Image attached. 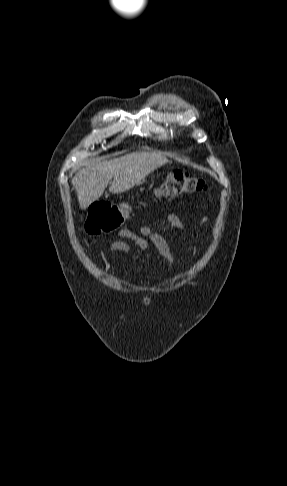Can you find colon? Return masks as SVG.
Masks as SVG:
<instances>
[{"label": "colon", "instance_id": "colon-1", "mask_svg": "<svg viewBox=\"0 0 287 486\" xmlns=\"http://www.w3.org/2000/svg\"><path fill=\"white\" fill-rule=\"evenodd\" d=\"M207 189L205 181L181 170L170 173L160 187L165 196L201 193ZM130 208L125 203L95 202L89 209L85 228L90 234H107L118 229L127 219Z\"/></svg>", "mask_w": 287, "mask_h": 486}]
</instances>
